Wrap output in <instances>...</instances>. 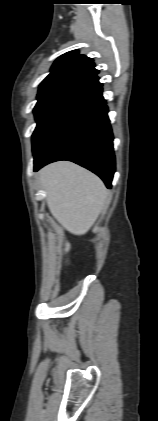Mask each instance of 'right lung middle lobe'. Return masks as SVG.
I'll list each match as a JSON object with an SVG mask.
<instances>
[{
	"mask_svg": "<svg viewBox=\"0 0 158 421\" xmlns=\"http://www.w3.org/2000/svg\"><path fill=\"white\" fill-rule=\"evenodd\" d=\"M79 89L78 85L61 84L39 90L34 108L37 126L32 136L33 153L42 143L61 108Z\"/></svg>",
	"mask_w": 158,
	"mask_h": 421,
	"instance_id": "dd1d6c3e",
	"label": "right lung middle lobe"
}]
</instances>
